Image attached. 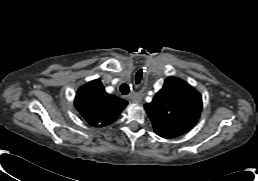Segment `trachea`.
<instances>
[{
    "instance_id": "1",
    "label": "trachea",
    "mask_w": 258,
    "mask_h": 181,
    "mask_svg": "<svg viewBox=\"0 0 258 181\" xmlns=\"http://www.w3.org/2000/svg\"><path fill=\"white\" fill-rule=\"evenodd\" d=\"M120 91L122 94L126 95L130 92V88L127 84H122L121 87H120Z\"/></svg>"
}]
</instances>
